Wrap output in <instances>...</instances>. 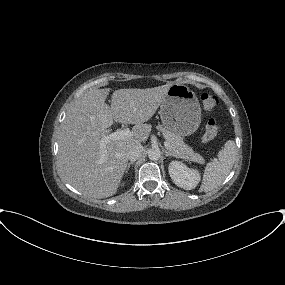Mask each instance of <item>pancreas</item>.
<instances>
[{"label":"pancreas","mask_w":285,"mask_h":285,"mask_svg":"<svg viewBox=\"0 0 285 285\" xmlns=\"http://www.w3.org/2000/svg\"><path fill=\"white\" fill-rule=\"evenodd\" d=\"M170 146L167 148L175 157L194 161L197 163H204L201 155L195 153L187 144L184 143L182 137L175 132L169 131L164 127L158 126Z\"/></svg>","instance_id":"1"}]
</instances>
